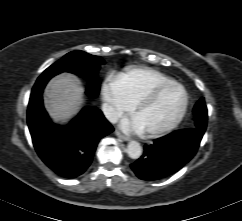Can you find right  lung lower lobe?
<instances>
[{"instance_id": "1", "label": "right lung lower lobe", "mask_w": 242, "mask_h": 221, "mask_svg": "<svg viewBox=\"0 0 242 221\" xmlns=\"http://www.w3.org/2000/svg\"><path fill=\"white\" fill-rule=\"evenodd\" d=\"M42 92L31 93L27 122L33 145L42 161L58 175L75 178L91 164L99 140L113 132L95 107H85L66 127L53 124L42 102Z\"/></svg>"}]
</instances>
